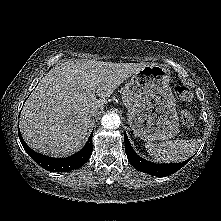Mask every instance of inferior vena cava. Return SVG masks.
<instances>
[{
	"instance_id": "602c4592",
	"label": "inferior vena cava",
	"mask_w": 221,
	"mask_h": 221,
	"mask_svg": "<svg viewBox=\"0 0 221 221\" xmlns=\"http://www.w3.org/2000/svg\"><path fill=\"white\" fill-rule=\"evenodd\" d=\"M98 114H99V110H98L97 108L92 109V110L90 111V115H91V116H96V115H98Z\"/></svg>"
}]
</instances>
